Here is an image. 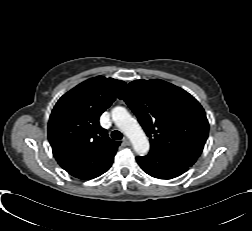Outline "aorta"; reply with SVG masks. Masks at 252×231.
I'll use <instances>...</instances> for the list:
<instances>
[{
    "instance_id": "1",
    "label": "aorta",
    "mask_w": 252,
    "mask_h": 231,
    "mask_svg": "<svg viewBox=\"0 0 252 231\" xmlns=\"http://www.w3.org/2000/svg\"><path fill=\"white\" fill-rule=\"evenodd\" d=\"M112 119L118 128L130 139L137 154L145 155L148 153L150 144L145 132L124 107H115L112 110Z\"/></svg>"
}]
</instances>
